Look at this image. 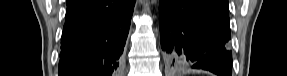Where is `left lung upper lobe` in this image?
Here are the masks:
<instances>
[{
    "label": "left lung upper lobe",
    "instance_id": "left-lung-upper-lobe-1",
    "mask_svg": "<svg viewBox=\"0 0 287 76\" xmlns=\"http://www.w3.org/2000/svg\"><path fill=\"white\" fill-rule=\"evenodd\" d=\"M211 4L217 5L225 10H228V0H209Z\"/></svg>",
    "mask_w": 287,
    "mask_h": 76
}]
</instances>
